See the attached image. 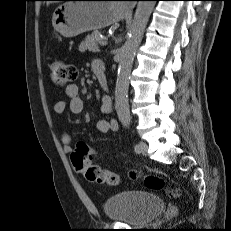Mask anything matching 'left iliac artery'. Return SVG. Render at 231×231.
<instances>
[{
    "label": "left iliac artery",
    "mask_w": 231,
    "mask_h": 231,
    "mask_svg": "<svg viewBox=\"0 0 231 231\" xmlns=\"http://www.w3.org/2000/svg\"><path fill=\"white\" fill-rule=\"evenodd\" d=\"M123 124H124V126L129 127L130 121L125 120V121H123ZM134 148H135L136 152H139V145L138 144H136Z\"/></svg>",
    "instance_id": "44dca946"
}]
</instances>
